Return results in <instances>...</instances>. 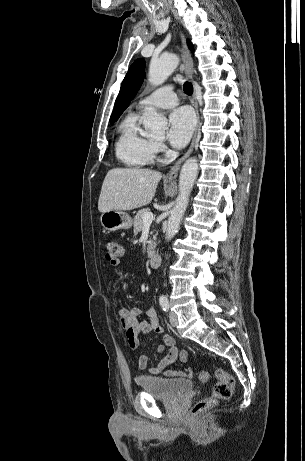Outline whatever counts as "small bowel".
Listing matches in <instances>:
<instances>
[{"label":"small bowel","mask_w":305,"mask_h":461,"mask_svg":"<svg viewBox=\"0 0 305 461\" xmlns=\"http://www.w3.org/2000/svg\"><path fill=\"white\" fill-rule=\"evenodd\" d=\"M110 288L111 291L115 293L114 282H111ZM141 315L142 309L138 306H120L116 309V316L120 322L121 328L125 333L129 347L132 350H135L139 347V336L141 334H157L162 339V343L157 347V352H162L165 346L169 347V352L166 356L160 359L156 365L149 369L150 373L154 375L162 374L166 377H191L192 371L190 369L165 370V368L172 364L178 356L183 363H186L188 361V352L186 350L179 352L176 345V340L172 336L165 334L153 307H149L147 309L145 318H141ZM138 367L140 370L147 369L148 356L146 354H142L139 357Z\"/></svg>","instance_id":"obj_1"}]
</instances>
